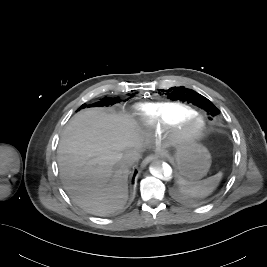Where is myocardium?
<instances>
[{
    "label": "myocardium",
    "mask_w": 267,
    "mask_h": 267,
    "mask_svg": "<svg viewBox=\"0 0 267 267\" xmlns=\"http://www.w3.org/2000/svg\"><path fill=\"white\" fill-rule=\"evenodd\" d=\"M206 128V120L199 113L187 115L165 127L171 145L194 144L204 136Z\"/></svg>",
    "instance_id": "myocardium-1"
}]
</instances>
